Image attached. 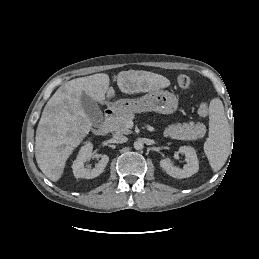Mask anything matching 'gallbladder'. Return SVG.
<instances>
[{
  "instance_id": "obj_1",
  "label": "gallbladder",
  "mask_w": 259,
  "mask_h": 259,
  "mask_svg": "<svg viewBox=\"0 0 259 259\" xmlns=\"http://www.w3.org/2000/svg\"><path fill=\"white\" fill-rule=\"evenodd\" d=\"M81 104L91 123L95 126H100L104 118L98 104L84 92L81 95Z\"/></svg>"
}]
</instances>
